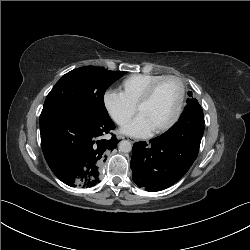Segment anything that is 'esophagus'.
Listing matches in <instances>:
<instances>
[{"mask_svg":"<svg viewBox=\"0 0 250 250\" xmlns=\"http://www.w3.org/2000/svg\"><path fill=\"white\" fill-rule=\"evenodd\" d=\"M119 139H121V137H120ZM129 140H130L131 143L137 142V140H136V139H133V138H129Z\"/></svg>","mask_w":250,"mask_h":250,"instance_id":"obj_1","label":"esophagus"}]
</instances>
